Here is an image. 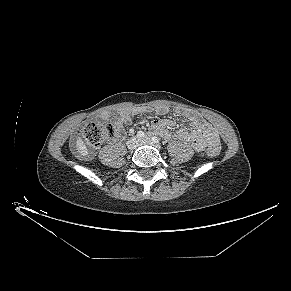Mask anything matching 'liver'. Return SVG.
I'll use <instances>...</instances> for the list:
<instances>
[{
  "label": "liver",
  "mask_w": 291,
  "mask_h": 291,
  "mask_svg": "<svg viewBox=\"0 0 291 291\" xmlns=\"http://www.w3.org/2000/svg\"><path fill=\"white\" fill-rule=\"evenodd\" d=\"M76 148H77V151L79 152V154L82 157H87L88 156L89 151H88L85 143L83 142V140L80 137H78L77 140H76Z\"/></svg>",
  "instance_id": "obj_1"
}]
</instances>
